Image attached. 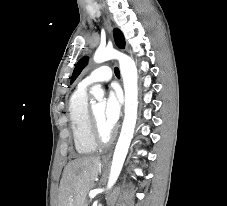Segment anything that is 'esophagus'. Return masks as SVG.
<instances>
[{
    "instance_id": "34e87169",
    "label": "esophagus",
    "mask_w": 227,
    "mask_h": 206,
    "mask_svg": "<svg viewBox=\"0 0 227 206\" xmlns=\"http://www.w3.org/2000/svg\"><path fill=\"white\" fill-rule=\"evenodd\" d=\"M105 23H106V26H107L108 30L112 33V26H111V22H110L109 18L106 19ZM110 158H111V152L108 153V154L104 157V161H109Z\"/></svg>"
}]
</instances>
